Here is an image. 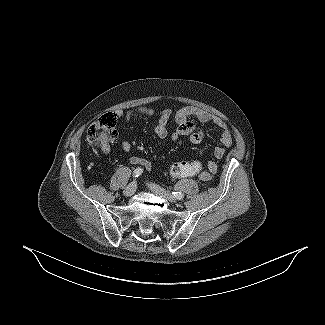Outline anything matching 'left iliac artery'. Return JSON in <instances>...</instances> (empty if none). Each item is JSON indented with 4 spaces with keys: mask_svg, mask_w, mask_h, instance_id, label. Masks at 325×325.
<instances>
[{
    "mask_svg": "<svg viewBox=\"0 0 325 325\" xmlns=\"http://www.w3.org/2000/svg\"><path fill=\"white\" fill-rule=\"evenodd\" d=\"M172 194L176 199H179V200L184 197V194L181 192H172Z\"/></svg>",
    "mask_w": 325,
    "mask_h": 325,
    "instance_id": "obj_1",
    "label": "left iliac artery"
}]
</instances>
